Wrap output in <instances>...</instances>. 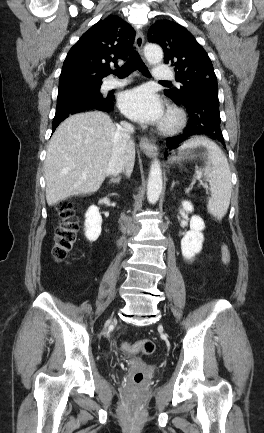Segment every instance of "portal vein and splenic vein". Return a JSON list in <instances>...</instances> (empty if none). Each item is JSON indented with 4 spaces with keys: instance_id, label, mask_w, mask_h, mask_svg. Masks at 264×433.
<instances>
[{
    "instance_id": "18ae733b",
    "label": "portal vein and splenic vein",
    "mask_w": 264,
    "mask_h": 433,
    "mask_svg": "<svg viewBox=\"0 0 264 433\" xmlns=\"http://www.w3.org/2000/svg\"><path fill=\"white\" fill-rule=\"evenodd\" d=\"M201 184L204 186V188H208V186L206 185V184H203L202 182H201Z\"/></svg>"
}]
</instances>
